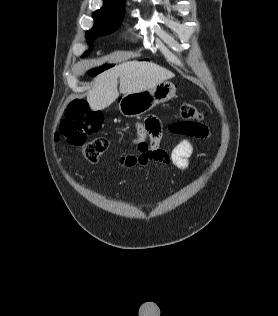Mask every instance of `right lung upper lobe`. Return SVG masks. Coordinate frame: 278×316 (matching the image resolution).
<instances>
[{
  "label": "right lung upper lobe",
  "instance_id": "right-lung-upper-lobe-1",
  "mask_svg": "<svg viewBox=\"0 0 278 316\" xmlns=\"http://www.w3.org/2000/svg\"><path fill=\"white\" fill-rule=\"evenodd\" d=\"M123 6L120 0H106L104 2L103 7L100 10H107V11H121Z\"/></svg>",
  "mask_w": 278,
  "mask_h": 316
}]
</instances>
